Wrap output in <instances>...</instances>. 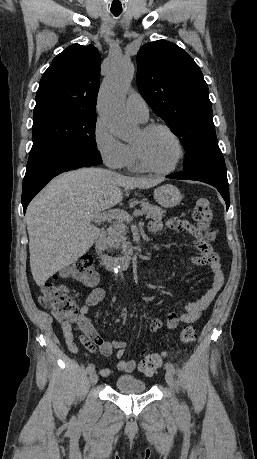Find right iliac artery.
I'll return each mask as SVG.
<instances>
[{"instance_id":"1","label":"right iliac artery","mask_w":257,"mask_h":459,"mask_svg":"<svg viewBox=\"0 0 257 459\" xmlns=\"http://www.w3.org/2000/svg\"><path fill=\"white\" fill-rule=\"evenodd\" d=\"M94 370H95L94 364H92V363L88 364V366L86 368L87 373L91 374Z\"/></svg>"}]
</instances>
